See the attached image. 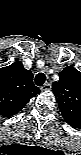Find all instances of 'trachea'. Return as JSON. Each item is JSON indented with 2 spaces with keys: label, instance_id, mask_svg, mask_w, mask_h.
<instances>
[{
  "label": "trachea",
  "instance_id": "obj_1",
  "mask_svg": "<svg viewBox=\"0 0 81 155\" xmlns=\"http://www.w3.org/2000/svg\"><path fill=\"white\" fill-rule=\"evenodd\" d=\"M46 81V76L43 73H38L35 77V84L37 86H42Z\"/></svg>",
  "mask_w": 81,
  "mask_h": 155
}]
</instances>
